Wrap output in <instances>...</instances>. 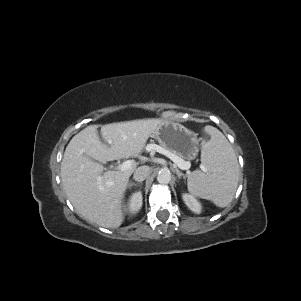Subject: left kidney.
<instances>
[{"instance_id": "obj_1", "label": "left kidney", "mask_w": 301, "mask_h": 301, "mask_svg": "<svg viewBox=\"0 0 301 301\" xmlns=\"http://www.w3.org/2000/svg\"><path fill=\"white\" fill-rule=\"evenodd\" d=\"M183 200L187 207L193 211L194 213H200L201 205L200 203L194 198V196L190 194H183Z\"/></svg>"}]
</instances>
